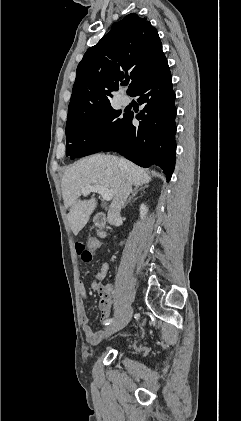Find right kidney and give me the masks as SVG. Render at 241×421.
<instances>
[{
  "instance_id": "obj_1",
  "label": "right kidney",
  "mask_w": 241,
  "mask_h": 421,
  "mask_svg": "<svg viewBox=\"0 0 241 421\" xmlns=\"http://www.w3.org/2000/svg\"><path fill=\"white\" fill-rule=\"evenodd\" d=\"M147 212H148V208L146 207V205L145 204H141V206H140V217L142 219L145 218Z\"/></svg>"
}]
</instances>
